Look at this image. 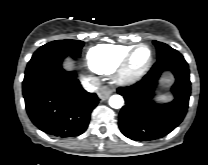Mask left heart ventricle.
I'll return each instance as SVG.
<instances>
[{"instance_id": "1", "label": "left heart ventricle", "mask_w": 208, "mask_h": 165, "mask_svg": "<svg viewBox=\"0 0 208 165\" xmlns=\"http://www.w3.org/2000/svg\"><path fill=\"white\" fill-rule=\"evenodd\" d=\"M149 58V51L146 48L138 50L133 59V65L136 68L142 67Z\"/></svg>"}]
</instances>
